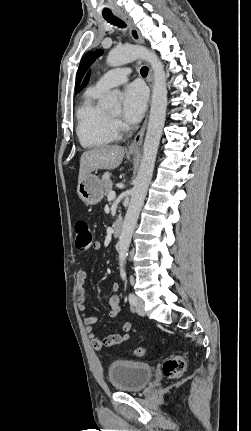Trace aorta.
Wrapping results in <instances>:
<instances>
[{
    "instance_id": "762f6f07",
    "label": "aorta",
    "mask_w": 251,
    "mask_h": 431,
    "mask_svg": "<svg viewBox=\"0 0 251 431\" xmlns=\"http://www.w3.org/2000/svg\"><path fill=\"white\" fill-rule=\"evenodd\" d=\"M137 59H144L150 63L153 70L154 84L150 116L143 146V156L118 241L120 268H123L128 255L131 238L145 200L148 186L152 179L167 108V88L164 65L153 51L142 46L113 48L107 56V63L110 66L116 67ZM102 106L104 108L117 107L118 101L116 94L113 92L110 93L103 101Z\"/></svg>"
}]
</instances>
